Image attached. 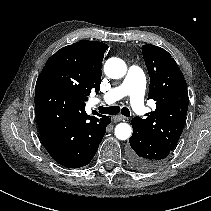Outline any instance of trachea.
Wrapping results in <instances>:
<instances>
[{
    "label": "trachea",
    "instance_id": "3493384b",
    "mask_svg": "<svg viewBox=\"0 0 211 211\" xmlns=\"http://www.w3.org/2000/svg\"><path fill=\"white\" fill-rule=\"evenodd\" d=\"M98 109L101 114L116 115L121 112V114L126 117L130 116V111L127 107L120 108L119 106H111V107L100 106Z\"/></svg>",
    "mask_w": 211,
    "mask_h": 211
}]
</instances>
